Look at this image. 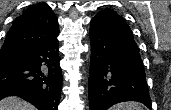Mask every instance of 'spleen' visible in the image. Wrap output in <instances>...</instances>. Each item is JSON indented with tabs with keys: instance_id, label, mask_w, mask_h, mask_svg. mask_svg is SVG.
<instances>
[{
	"instance_id": "3e777b00",
	"label": "spleen",
	"mask_w": 171,
	"mask_h": 110,
	"mask_svg": "<svg viewBox=\"0 0 171 110\" xmlns=\"http://www.w3.org/2000/svg\"><path fill=\"white\" fill-rule=\"evenodd\" d=\"M110 110H143V107L138 102H123L114 105Z\"/></svg>"
}]
</instances>
